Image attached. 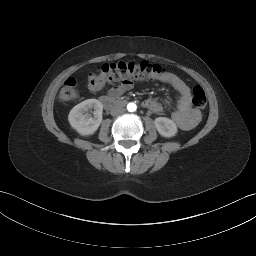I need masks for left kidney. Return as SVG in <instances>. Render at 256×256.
I'll return each mask as SVG.
<instances>
[{
	"mask_svg": "<svg viewBox=\"0 0 256 256\" xmlns=\"http://www.w3.org/2000/svg\"><path fill=\"white\" fill-rule=\"evenodd\" d=\"M154 123L158 133L163 137L170 138L177 134V126L169 118L158 117L155 119Z\"/></svg>",
	"mask_w": 256,
	"mask_h": 256,
	"instance_id": "left-kidney-1",
	"label": "left kidney"
}]
</instances>
